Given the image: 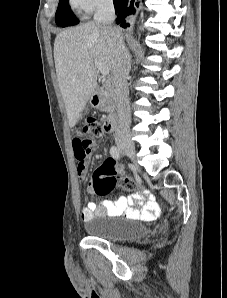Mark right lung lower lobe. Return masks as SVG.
Listing matches in <instances>:
<instances>
[{
	"label": "right lung lower lobe",
	"mask_w": 227,
	"mask_h": 298,
	"mask_svg": "<svg viewBox=\"0 0 227 298\" xmlns=\"http://www.w3.org/2000/svg\"><path fill=\"white\" fill-rule=\"evenodd\" d=\"M135 0H131L129 2L130 7L127 8L128 0H113L116 14L118 13L117 24H120L123 28L129 26L128 23L125 22V17L133 14L135 9L132 8ZM135 5L138 7V3Z\"/></svg>",
	"instance_id": "obj_1"
}]
</instances>
